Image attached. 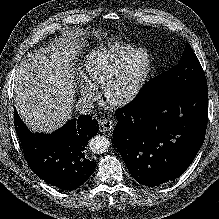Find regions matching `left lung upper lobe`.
Listing matches in <instances>:
<instances>
[{"mask_svg":"<svg viewBox=\"0 0 219 219\" xmlns=\"http://www.w3.org/2000/svg\"><path fill=\"white\" fill-rule=\"evenodd\" d=\"M199 86L207 87L206 77L197 56L187 43L179 63L148 82L136 100L152 103L179 90Z\"/></svg>","mask_w":219,"mask_h":219,"instance_id":"1","label":"left lung upper lobe"}]
</instances>
